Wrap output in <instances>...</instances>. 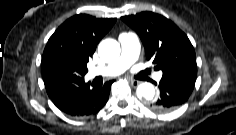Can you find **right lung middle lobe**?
<instances>
[{
	"mask_svg": "<svg viewBox=\"0 0 236 135\" xmlns=\"http://www.w3.org/2000/svg\"><path fill=\"white\" fill-rule=\"evenodd\" d=\"M86 65L87 63L75 60L64 54H52L45 61L42 60V70L56 69L83 76L88 71Z\"/></svg>",
	"mask_w": 236,
	"mask_h": 135,
	"instance_id": "right-lung-middle-lobe-1",
	"label": "right lung middle lobe"
}]
</instances>
